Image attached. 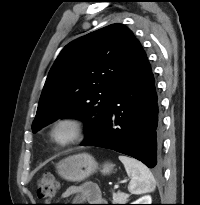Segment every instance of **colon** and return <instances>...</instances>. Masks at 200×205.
I'll list each match as a JSON object with an SVG mask.
<instances>
[{"mask_svg":"<svg viewBox=\"0 0 200 205\" xmlns=\"http://www.w3.org/2000/svg\"><path fill=\"white\" fill-rule=\"evenodd\" d=\"M59 184L52 173L44 174L38 181L37 193L42 199H49L56 195Z\"/></svg>","mask_w":200,"mask_h":205,"instance_id":"5ec220e1","label":"colon"}]
</instances>
